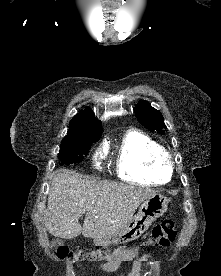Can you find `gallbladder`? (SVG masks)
Listing matches in <instances>:
<instances>
[{
  "label": "gallbladder",
  "mask_w": 221,
  "mask_h": 276,
  "mask_svg": "<svg viewBox=\"0 0 221 276\" xmlns=\"http://www.w3.org/2000/svg\"><path fill=\"white\" fill-rule=\"evenodd\" d=\"M52 243H53V245H55V246H60V245L63 243V241H62L61 239H59V238H56V239H54V240L52 241Z\"/></svg>",
  "instance_id": "1"
}]
</instances>
